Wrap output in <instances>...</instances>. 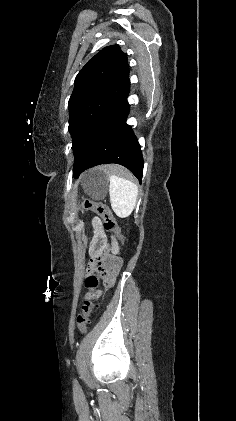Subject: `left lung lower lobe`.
I'll return each mask as SVG.
<instances>
[{
    "label": "left lung lower lobe",
    "instance_id": "obj_1",
    "mask_svg": "<svg viewBox=\"0 0 236 421\" xmlns=\"http://www.w3.org/2000/svg\"><path fill=\"white\" fill-rule=\"evenodd\" d=\"M129 83L125 91L107 108L89 133L82 152L74 163L75 178L93 166L117 163L128 168L141 183L142 152L131 126L126 123L130 109L127 102Z\"/></svg>",
    "mask_w": 236,
    "mask_h": 421
}]
</instances>
